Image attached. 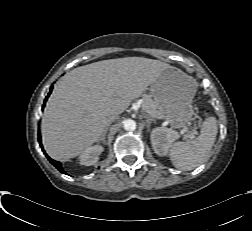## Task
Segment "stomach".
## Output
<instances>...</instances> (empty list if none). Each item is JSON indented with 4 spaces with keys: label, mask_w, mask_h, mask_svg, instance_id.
I'll return each mask as SVG.
<instances>
[{
    "label": "stomach",
    "mask_w": 252,
    "mask_h": 231,
    "mask_svg": "<svg viewBox=\"0 0 252 231\" xmlns=\"http://www.w3.org/2000/svg\"><path fill=\"white\" fill-rule=\"evenodd\" d=\"M196 91L194 78L173 67L164 69L150 87L158 118L169 121L174 128L188 125L194 115Z\"/></svg>",
    "instance_id": "obj_1"
}]
</instances>
